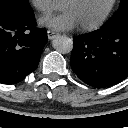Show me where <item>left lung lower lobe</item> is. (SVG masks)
I'll use <instances>...</instances> for the list:
<instances>
[{"mask_svg": "<svg viewBox=\"0 0 128 128\" xmlns=\"http://www.w3.org/2000/svg\"><path fill=\"white\" fill-rule=\"evenodd\" d=\"M73 42L71 68L84 83L104 88L128 77V16L74 37Z\"/></svg>", "mask_w": 128, "mask_h": 128, "instance_id": "1", "label": "left lung lower lobe"}]
</instances>
